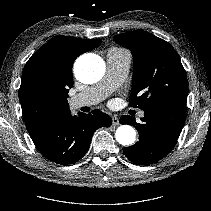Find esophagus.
<instances>
[{
  "label": "esophagus",
  "instance_id": "34e87169",
  "mask_svg": "<svg viewBox=\"0 0 211 211\" xmlns=\"http://www.w3.org/2000/svg\"><path fill=\"white\" fill-rule=\"evenodd\" d=\"M112 124H113L114 126H117V125L120 124V123H119L118 117H116V116H113V117H112Z\"/></svg>",
  "mask_w": 211,
  "mask_h": 211
}]
</instances>
